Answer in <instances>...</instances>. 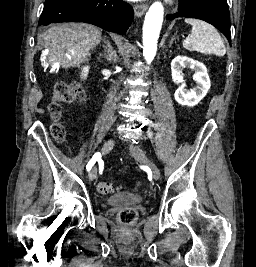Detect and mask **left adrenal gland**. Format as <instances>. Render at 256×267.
I'll use <instances>...</instances> for the list:
<instances>
[{
	"mask_svg": "<svg viewBox=\"0 0 256 267\" xmlns=\"http://www.w3.org/2000/svg\"><path fill=\"white\" fill-rule=\"evenodd\" d=\"M174 40H177V36H173V38H171L170 46H172Z\"/></svg>",
	"mask_w": 256,
	"mask_h": 267,
	"instance_id": "a2214340",
	"label": "left adrenal gland"
}]
</instances>
